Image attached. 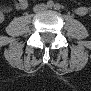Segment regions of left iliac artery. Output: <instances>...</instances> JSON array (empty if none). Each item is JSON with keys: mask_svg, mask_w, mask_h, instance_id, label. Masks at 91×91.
<instances>
[{"mask_svg": "<svg viewBox=\"0 0 91 91\" xmlns=\"http://www.w3.org/2000/svg\"><path fill=\"white\" fill-rule=\"evenodd\" d=\"M55 9H59V6L58 5H55Z\"/></svg>", "mask_w": 91, "mask_h": 91, "instance_id": "left-iliac-artery-1", "label": "left iliac artery"}]
</instances>
